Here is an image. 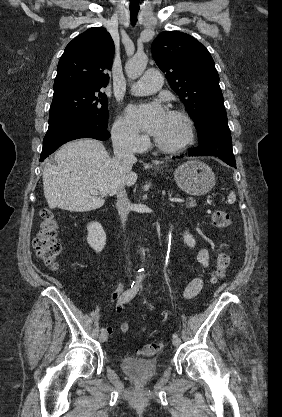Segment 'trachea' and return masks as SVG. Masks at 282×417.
<instances>
[{"instance_id": "3493384b", "label": "trachea", "mask_w": 282, "mask_h": 417, "mask_svg": "<svg viewBox=\"0 0 282 417\" xmlns=\"http://www.w3.org/2000/svg\"><path fill=\"white\" fill-rule=\"evenodd\" d=\"M139 10H130L131 25H135L137 22V14Z\"/></svg>"}]
</instances>
